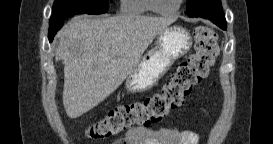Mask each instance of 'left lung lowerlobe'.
I'll use <instances>...</instances> for the list:
<instances>
[{"instance_id": "1", "label": "left lung lower lobe", "mask_w": 273, "mask_h": 144, "mask_svg": "<svg viewBox=\"0 0 273 144\" xmlns=\"http://www.w3.org/2000/svg\"><path fill=\"white\" fill-rule=\"evenodd\" d=\"M202 3L206 4L208 8L198 13L196 17L209 19L223 30H226V20L222 8L213 6L211 0H205Z\"/></svg>"}]
</instances>
